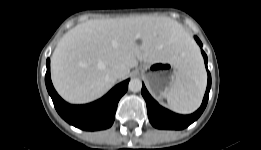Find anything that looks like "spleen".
Here are the masks:
<instances>
[{
  "mask_svg": "<svg viewBox=\"0 0 261 150\" xmlns=\"http://www.w3.org/2000/svg\"><path fill=\"white\" fill-rule=\"evenodd\" d=\"M189 57L187 66L179 71L175 84L166 94L169 107L181 114L199 108L206 88V73L198 49L191 50Z\"/></svg>",
  "mask_w": 261,
  "mask_h": 150,
  "instance_id": "spleen-1",
  "label": "spleen"
}]
</instances>
